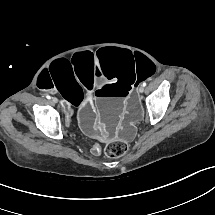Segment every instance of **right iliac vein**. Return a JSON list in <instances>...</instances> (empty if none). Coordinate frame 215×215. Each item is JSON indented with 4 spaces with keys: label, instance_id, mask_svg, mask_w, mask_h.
Segmentation results:
<instances>
[{
    "label": "right iliac vein",
    "instance_id": "obj_1",
    "mask_svg": "<svg viewBox=\"0 0 215 215\" xmlns=\"http://www.w3.org/2000/svg\"><path fill=\"white\" fill-rule=\"evenodd\" d=\"M53 103H57L58 102V99L56 97H53L52 100H51Z\"/></svg>",
    "mask_w": 215,
    "mask_h": 215
}]
</instances>
